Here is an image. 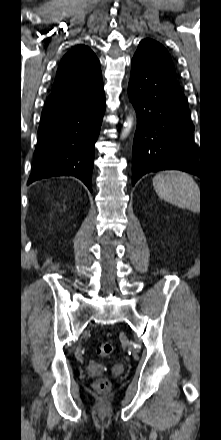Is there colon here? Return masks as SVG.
<instances>
[{
    "mask_svg": "<svg viewBox=\"0 0 221 440\" xmlns=\"http://www.w3.org/2000/svg\"><path fill=\"white\" fill-rule=\"evenodd\" d=\"M113 352V345L109 342H104L98 345L96 353L100 357L109 356ZM95 388L100 392H105L110 388V382L107 379H99L95 383Z\"/></svg>",
    "mask_w": 221,
    "mask_h": 440,
    "instance_id": "colon-1",
    "label": "colon"
}]
</instances>
